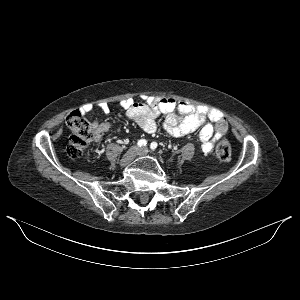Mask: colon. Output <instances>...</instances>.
I'll list each match as a JSON object with an SVG mask.
<instances>
[{"mask_svg": "<svg viewBox=\"0 0 300 300\" xmlns=\"http://www.w3.org/2000/svg\"><path fill=\"white\" fill-rule=\"evenodd\" d=\"M66 124L71 130L67 154L72 159H78L83 156L94 136V128L84 115L75 110L66 117ZM216 130L223 131L226 128L225 120L220 117L214 119ZM216 155L222 161H227L231 157V145L226 140H221L216 146Z\"/></svg>", "mask_w": 300, "mask_h": 300, "instance_id": "1", "label": "colon"}]
</instances>
